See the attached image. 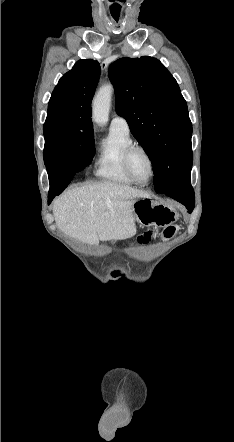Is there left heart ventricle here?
Returning a JSON list of instances; mask_svg holds the SVG:
<instances>
[{"label":"left heart ventricle","mask_w":234,"mask_h":442,"mask_svg":"<svg viewBox=\"0 0 234 442\" xmlns=\"http://www.w3.org/2000/svg\"><path fill=\"white\" fill-rule=\"evenodd\" d=\"M131 169L136 178L142 182H146L151 175V166L147 156L141 151L136 150L130 158Z\"/></svg>","instance_id":"1"}]
</instances>
